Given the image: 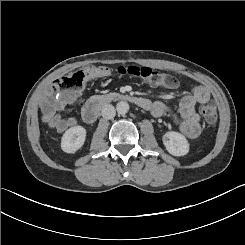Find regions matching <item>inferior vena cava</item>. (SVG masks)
<instances>
[{"instance_id": "obj_1", "label": "inferior vena cava", "mask_w": 245, "mask_h": 245, "mask_svg": "<svg viewBox=\"0 0 245 245\" xmlns=\"http://www.w3.org/2000/svg\"><path fill=\"white\" fill-rule=\"evenodd\" d=\"M101 114L105 119H112L114 118L116 111L113 105L107 104L102 107Z\"/></svg>"}]
</instances>
